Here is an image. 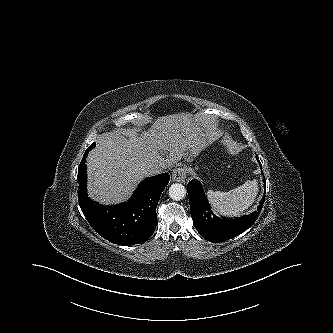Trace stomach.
<instances>
[{
    "label": "stomach",
    "mask_w": 333,
    "mask_h": 333,
    "mask_svg": "<svg viewBox=\"0 0 333 333\" xmlns=\"http://www.w3.org/2000/svg\"><path fill=\"white\" fill-rule=\"evenodd\" d=\"M193 160V158H191L188 162H191Z\"/></svg>",
    "instance_id": "obj_1"
}]
</instances>
